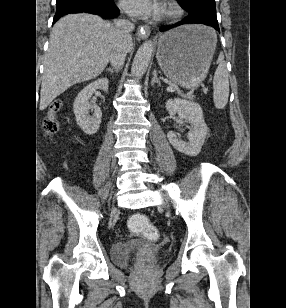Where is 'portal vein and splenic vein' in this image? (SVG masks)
I'll list each match as a JSON object with an SVG mask.
<instances>
[{
	"label": "portal vein and splenic vein",
	"instance_id": "1",
	"mask_svg": "<svg viewBox=\"0 0 286 308\" xmlns=\"http://www.w3.org/2000/svg\"><path fill=\"white\" fill-rule=\"evenodd\" d=\"M177 87L176 86H169L168 88H167V90L168 91H172V90H174V89H176Z\"/></svg>",
	"mask_w": 286,
	"mask_h": 308
}]
</instances>
